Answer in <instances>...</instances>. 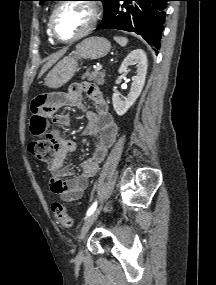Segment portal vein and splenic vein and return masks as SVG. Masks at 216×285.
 <instances>
[{
  "label": "portal vein and splenic vein",
  "instance_id": "18ae733b",
  "mask_svg": "<svg viewBox=\"0 0 216 285\" xmlns=\"http://www.w3.org/2000/svg\"><path fill=\"white\" fill-rule=\"evenodd\" d=\"M102 69V65H98L96 68H95V71H99Z\"/></svg>",
  "mask_w": 216,
  "mask_h": 285
}]
</instances>
